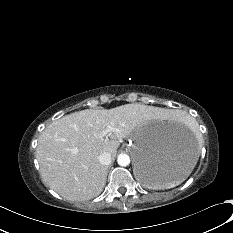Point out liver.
I'll use <instances>...</instances> for the list:
<instances>
[{
    "mask_svg": "<svg viewBox=\"0 0 233 233\" xmlns=\"http://www.w3.org/2000/svg\"><path fill=\"white\" fill-rule=\"evenodd\" d=\"M177 117L174 110L138 103L68 114L49 124L39 136L36 156L42 179L66 200L94 198L107 179V168L98 159L101 153L114 157L120 141L140 126ZM107 126L114 131L98 137Z\"/></svg>",
    "mask_w": 233,
    "mask_h": 233,
    "instance_id": "obj_1",
    "label": "liver"
}]
</instances>
